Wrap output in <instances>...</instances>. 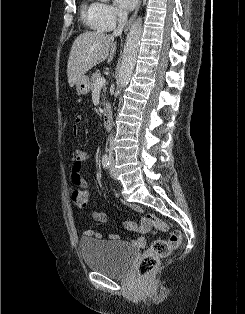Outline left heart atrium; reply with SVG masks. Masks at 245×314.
<instances>
[{"instance_id": "left-heart-atrium-1", "label": "left heart atrium", "mask_w": 245, "mask_h": 314, "mask_svg": "<svg viewBox=\"0 0 245 314\" xmlns=\"http://www.w3.org/2000/svg\"><path fill=\"white\" fill-rule=\"evenodd\" d=\"M116 4L122 9V10H131L135 7L138 0H115Z\"/></svg>"}]
</instances>
